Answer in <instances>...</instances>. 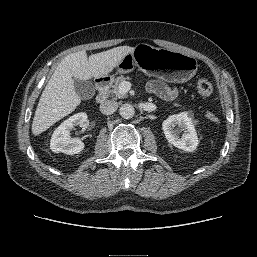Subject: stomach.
Returning a JSON list of instances; mask_svg holds the SVG:
<instances>
[{"instance_id": "obj_1", "label": "stomach", "mask_w": 257, "mask_h": 257, "mask_svg": "<svg viewBox=\"0 0 257 257\" xmlns=\"http://www.w3.org/2000/svg\"><path fill=\"white\" fill-rule=\"evenodd\" d=\"M116 68L123 74L138 68L148 76L183 83L195 75L198 62L191 55L141 43Z\"/></svg>"}]
</instances>
